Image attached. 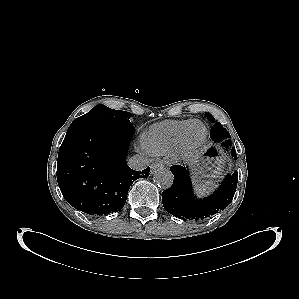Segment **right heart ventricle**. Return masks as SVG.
<instances>
[{
    "mask_svg": "<svg viewBox=\"0 0 299 299\" xmlns=\"http://www.w3.org/2000/svg\"><path fill=\"white\" fill-rule=\"evenodd\" d=\"M191 120H172L154 124L144 134L143 142L153 155L171 151L186 125Z\"/></svg>",
    "mask_w": 299,
    "mask_h": 299,
    "instance_id": "right-heart-ventricle-1",
    "label": "right heart ventricle"
}]
</instances>
